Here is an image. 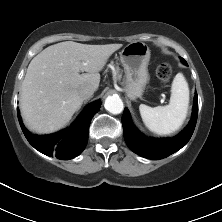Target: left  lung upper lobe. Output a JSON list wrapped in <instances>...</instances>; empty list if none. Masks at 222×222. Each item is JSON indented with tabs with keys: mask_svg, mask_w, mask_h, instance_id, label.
I'll list each match as a JSON object with an SVG mask.
<instances>
[{
	"mask_svg": "<svg viewBox=\"0 0 222 222\" xmlns=\"http://www.w3.org/2000/svg\"><path fill=\"white\" fill-rule=\"evenodd\" d=\"M180 59H181L183 64L187 65V62L183 58H180Z\"/></svg>",
	"mask_w": 222,
	"mask_h": 222,
	"instance_id": "5c2ea615",
	"label": "left lung upper lobe"
}]
</instances>
